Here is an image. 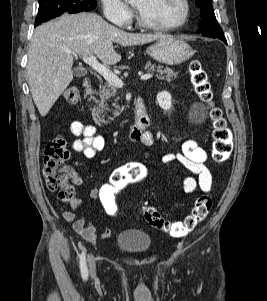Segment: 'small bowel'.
Segmentation results:
<instances>
[{"instance_id":"obj_1","label":"small bowel","mask_w":267,"mask_h":301,"mask_svg":"<svg viewBox=\"0 0 267 301\" xmlns=\"http://www.w3.org/2000/svg\"><path fill=\"white\" fill-rule=\"evenodd\" d=\"M70 133L76 137L71 143L73 151L82 153L87 158H92L97 152L105 147V138L97 132L94 125L85 124L81 121H73L69 125ZM145 146L154 144V136L150 131H146L141 139ZM164 163H179L187 171L196 175L185 176L182 180V188L185 194H192L197 188L203 192H209L212 189V175L207 167L208 154L205 149L200 147L195 140H187L177 152L166 153L162 157ZM72 182L76 185L82 183L80 176L72 169H69ZM98 189L94 188L89 192V198L96 200ZM81 200L76 199L73 210L63 212V218L70 224L77 234L84 240L93 243L101 239H107L113 236L111 229L104 228L101 231L97 229L85 218H77V209Z\"/></svg>"}]
</instances>
